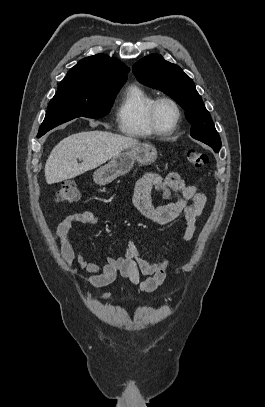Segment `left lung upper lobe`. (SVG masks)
<instances>
[{
	"mask_svg": "<svg viewBox=\"0 0 265 407\" xmlns=\"http://www.w3.org/2000/svg\"><path fill=\"white\" fill-rule=\"evenodd\" d=\"M133 72L139 82L163 91L174 99L186 112V119L192 124L191 136L207 145L221 148V140L195 88L193 80L182 69L151 54L133 65Z\"/></svg>",
	"mask_w": 265,
	"mask_h": 407,
	"instance_id": "1",
	"label": "left lung upper lobe"
}]
</instances>
